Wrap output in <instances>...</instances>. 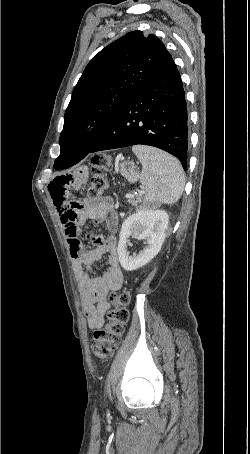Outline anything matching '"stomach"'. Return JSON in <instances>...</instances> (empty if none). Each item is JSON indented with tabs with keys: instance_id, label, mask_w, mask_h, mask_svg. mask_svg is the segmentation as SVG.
I'll use <instances>...</instances> for the list:
<instances>
[{
	"instance_id": "obj_1",
	"label": "stomach",
	"mask_w": 250,
	"mask_h": 454,
	"mask_svg": "<svg viewBox=\"0 0 250 454\" xmlns=\"http://www.w3.org/2000/svg\"><path fill=\"white\" fill-rule=\"evenodd\" d=\"M120 173L129 181L135 182L139 178V173L135 170L133 162L125 161L120 164Z\"/></svg>"
}]
</instances>
